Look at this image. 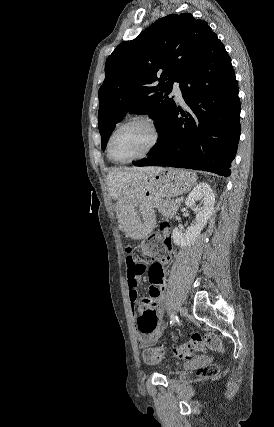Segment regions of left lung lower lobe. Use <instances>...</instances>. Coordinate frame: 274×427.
Listing matches in <instances>:
<instances>
[{
	"label": "left lung lower lobe",
	"instance_id": "left-lung-lower-lobe-1",
	"mask_svg": "<svg viewBox=\"0 0 274 427\" xmlns=\"http://www.w3.org/2000/svg\"><path fill=\"white\" fill-rule=\"evenodd\" d=\"M186 109L170 107L165 128L136 166L189 168L230 176L240 137V102L231 59L217 36L180 80Z\"/></svg>",
	"mask_w": 274,
	"mask_h": 427
}]
</instances>
